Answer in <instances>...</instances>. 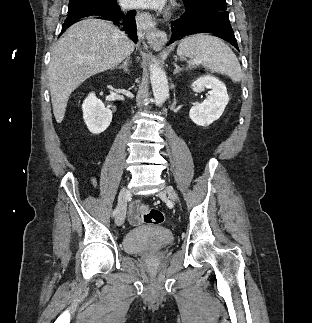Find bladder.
I'll return each mask as SVG.
<instances>
[{
  "mask_svg": "<svg viewBox=\"0 0 312 323\" xmlns=\"http://www.w3.org/2000/svg\"><path fill=\"white\" fill-rule=\"evenodd\" d=\"M172 243V235L166 229L135 230L126 235L124 249L134 254L159 251Z\"/></svg>",
  "mask_w": 312,
  "mask_h": 323,
  "instance_id": "1",
  "label": "bladder"
}]
</instances>
